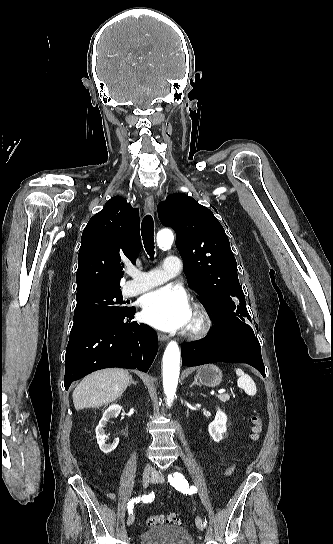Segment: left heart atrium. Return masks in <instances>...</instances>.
Returning <instances> with one entry per match:
<instances>
[{"mask_svg": "<svg viewBox=\"0 0 333 544\" xmlns=\"http://www.w3.org/2000/svg\"><path fill=\"white\" fill-rule=\"evenodd\" d=\"M142 318L151 326L172 331L187 326L192 317L189 299L178 288L163 287L142 299Z\"/></svg>", "mask_w": 333, "mask_h": 544, "instance_id": "obj_1", "label": "left heart atrium"}]
</instances>
